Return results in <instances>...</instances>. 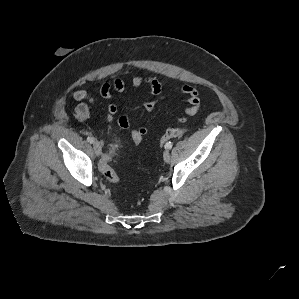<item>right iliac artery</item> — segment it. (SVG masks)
Instances as JSON below:
<instances>
[{
    "label": "right iliac artery",
    "mask_w": 299,
    "mask_h": 299,
    "mask_svg": "<svg viewBox=\"0 0 299 299\" xmlns=\"http://www.w3.org/2000/svg\"><path fill=\"white\" fill-rule=\"evenodd\" d=\"M87 141H88L89 143H93V142H94V138H93V137H87Z\"/></svg>",
    "instance_id": "1"
}]
</instances>
